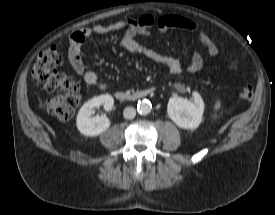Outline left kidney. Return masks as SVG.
<instances>
[{
  "label": "left kidney",
  "instance_id": "5707ae66",
  "mask_svg": "<svg viewBox=\"0 0 275 215\" xmlns=\"http://www.w3.org/2000/svg\"><path fill=\"white\" fill-rule=\"evenodd\" d=\"M193 102L174 96L169 99L167 112L170 119L180 128L196 129L204 112V102L198 92H193Z\"/></svg>",
  "mask_w": 275,
  "mask_h": 215
}]
</instances>
